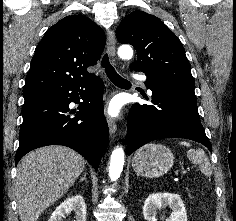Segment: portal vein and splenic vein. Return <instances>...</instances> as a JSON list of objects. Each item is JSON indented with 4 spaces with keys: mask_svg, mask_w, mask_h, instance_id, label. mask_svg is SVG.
<instances>
[{
    "mask_svg": "<svg viewBox=\"0 0 236 221\" xmlns=\"http://www.w3.org/2000/svg\"><path fill=\"white\" fill-rule=\"evenodd\" d=\"M180 173H181V174H185V173H187V170L184 169V170H182Z\"/></svg>",
    "mask_w": 236,
    "mask_h": 221,
    "instance_id": "18ae733b",
    "label": "portal vein and splenic vein"
}]
</instances>
